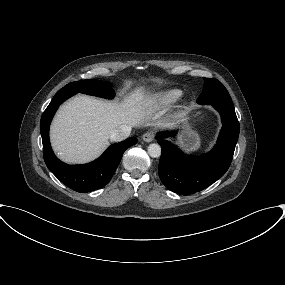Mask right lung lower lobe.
Returning <instances> with one entry per match:
<instances>
[{"label": "right lung lower lobe", "mask_w": 285, "mask_h": 285, "mask_svg": "<svg viewBox=\"0 0 285 285\" xmlns=\"http://www.w3.org/2000/svg\"><path fill=\"white\" fill-rule=\"evenodd\" d=\"M74 93L59 90L44 111L40 121L43 156L48 169L67 187L81 193L105 186L112 178L127 148L136 144V138L111 145L98 159L84 165H68L53 153L49 141V126L59 105Z\"/></svg>", "instance_id": "right-lung-lower-lobe-1"}]
</instances>
